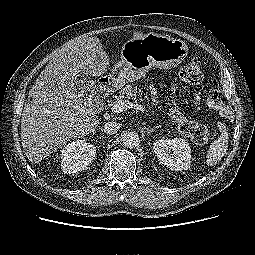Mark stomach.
Returning a JSON list of instances; mask_svg holds the SVG:
<instances>
[{"label": "stomach", "instance_id": "0dacf381", "mask_svg": "<svg viewBox=\"0 0 255 255\" xmlns=\"http://www.w3.org/2000/svg\"><path fill=\"white\" fill-rule=\"evenodd\" d=\"M188 55V46L180 39L149 33L131 38L121 47V60L108 76L112 88L144 77L152 68L171 69L182 63Z\"/></svg>", "mask_w": 255, "mask_h": 255}]
</instances>
